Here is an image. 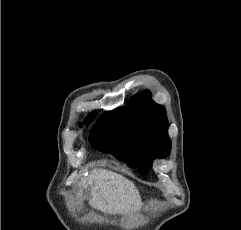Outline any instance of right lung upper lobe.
<instances>
[{
  "instance_id": "right-lung-upper-lobe-1",
  "label": "right lung upper lobe",
  "mask_w": 241,
  "mask_h": 230,
  "mask_svg": "<svg viewBox=\"0 0 241 230\" xmlns=\"http://www.w3.org/2000/svg\"><path fill=\"white\" fill-rule=\"evenodd\" d=\"M95 115H96V112H95V111L90 112L89 115H88V117H86L85 121H86V122L92 121V120L94 119Z\"/></svg>"
}]
</instances>
